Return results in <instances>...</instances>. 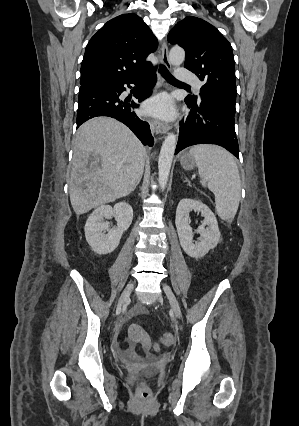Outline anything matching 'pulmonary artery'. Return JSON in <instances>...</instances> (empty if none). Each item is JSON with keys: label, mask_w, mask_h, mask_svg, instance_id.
<instances>
[{"label": "pulmonary artery", "mask_w": 299, "mask_h": 426, "mask_svg": "<svg viewBox=\"0 0 299 426\" xmlns=\"http://www.w3.org/2000/svg\"><path fill=\"white\" fill-rule=\"evenodd\" d=\"M176 72H177L176 73L177 78L179 80L187 81V82L192 83L193 86H194V88H195V90L197 92L200 91L202 84H201V82L197 78H195L194 76L188 74L184 68H178Z\"/></svg>", "instance_id": "pulmonary-artery-1"}]
</instances>
